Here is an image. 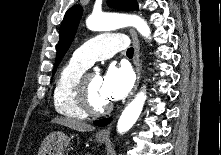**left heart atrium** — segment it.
<instances>
[{"instance_id":"obj_1","label":"left heart atrium","mask_w":221,"mask_h":155,"mask_svg":"<svg viewBox=\"0 0 221 155\" xmlns=\"http://www.w3.org/2000/svg\"><path fill=\"white\" fill-rule=\"evenodd\" d=\"M132 82V73L127 67L111 65L102 77V90L109 101H117L128 94Z\"/></svg>"}]
</instances>
